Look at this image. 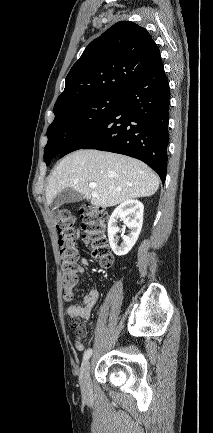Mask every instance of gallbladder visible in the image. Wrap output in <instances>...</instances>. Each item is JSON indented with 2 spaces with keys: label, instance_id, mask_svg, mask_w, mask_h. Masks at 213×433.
I'll list each match as a JSON object with an SVG mask.
<instances>
[{
  "label": "gallbladder",
  "instance_id": "1",
  "mask_svg": "<svg viewBox=\"0 0 213 433\" xmlns=\"http://www.w3.org/2000/svg\"><path fill=\"white\" fill-rule=\"evenodd\" d=\"M83 199V195L76 190L67 188L59 192L53 199L51 206L54 209L61 207L66 203L79 202Z\"/></svg>",
  "mask_w": 213,
  "mask_h": 433
}]
</instances>
